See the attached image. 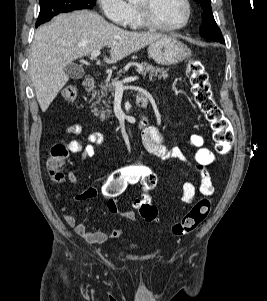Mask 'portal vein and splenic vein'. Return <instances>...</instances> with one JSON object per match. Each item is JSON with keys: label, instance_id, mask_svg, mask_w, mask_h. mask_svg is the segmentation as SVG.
<instances>
[{"label": "portal vein and splenic vein", "instance_id": "1", "mask_svg": "<svg viewBox=\"0 0 267 301\" xmlns=\"http://www.w3.org/2000/svg\"><path fill=\"white\" fill-rule=\"evenodd\" d=\"M100 54V50H95L91 53V58L92 59H95L97 58V56ZM138 79L137 76H133V77H128V78H125L124 80L122 81H117L115 82V89H123V84L124 83H128V82H132V81H136Z\"/></svg>", "mask_w": 267, "mask_h": 301}]
</instances>
